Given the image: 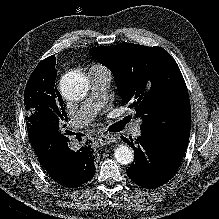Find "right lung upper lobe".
I'll list each match as a JSON object with an SVG mask.
<instances>
[{
    "instance_id": "1",
    "label": "right lung upper lobe",
    "mask_w": 219,
    "mask_h": 219,
    "mask_svg": "<svg viewBox=\"0 0 219 219\" xmlns=\"http://www.w3.org/2000/svg\"><path fill=\"white\" fill-rule=\"evenodd\" d=\"M45 60H53V61H56L55 60V56L53 55V56H50V57H48V58H46V59H44V60H42V61H45ZM41 61V62H42ZM55 72H56V70H55ZM57 73V72H56ZM56 78V77H55ZM54 86H55V84H54ZM58 92V91H57ZM58 95L60 96V93L58 92ZM60 98H61V96H60ZM62 99V98H61Z\"/></svg>"
}]
</instances>
